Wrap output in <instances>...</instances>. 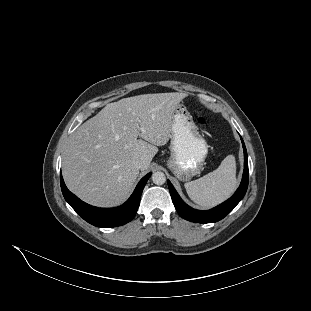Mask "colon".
Masks as SVG:
<instances>
[{"mask_svg": "<svg viewBox=\"0 0 311 311\" xmlns=\"http://www.w3.org/2000/svg\"><path fill=\"white\" fill-rule=\"evenodd\" d=\"M195 117L199 125L204 126L207 124V119L205 116L198 111H195Z\"/></svg>", "mask_w": 311, "mask_h": 311, "instance_id": "1", "label": "colon"}]
</instances>
